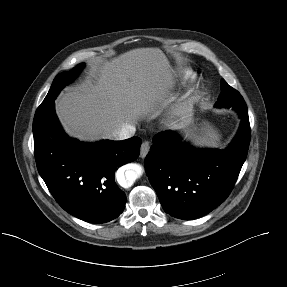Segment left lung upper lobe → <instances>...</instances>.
<instances>
[{
	"label": "left lung upper lobe",
	"instance_id": "5c2ea615",
	"mask_svg": "<svg viewBox=\"0 0 287 287\" xmlns=\"http://www.w3.org/2000/svg\"><path fill=\"white\" fill-rule=\"evenodd\" d=\"M216 107H233L235 110L243 109L246 103L241 94L229 86L224 79L221 80V94L216 102Z\"/></svg>",
	"mask_w": 287,
	"mask_h": 287
}]
</instances>
